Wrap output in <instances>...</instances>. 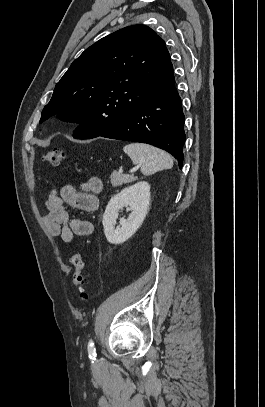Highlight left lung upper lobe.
I'll list each match as a JSON object with an SVG mask.
<instances>
[{
  "mask_svg": "<svg viewBox=\"0 0 265 407\" xmlns=\"http://www.w3.org/2000/svg\"><path fill=\"white\" fill-rule=\"evenodd\" d=\"M174 79L164 40L145 25L120 29L87 48L56 84L40 123L57 114L82 125L77 139L112 129Z\"/></svg>",
  "mask_w": 265,
  "mask_h": 407,
  "instance_id": "left-lung-upper-lobe-1",
  "label": "left lung upper lobe"
}]
</instances>
